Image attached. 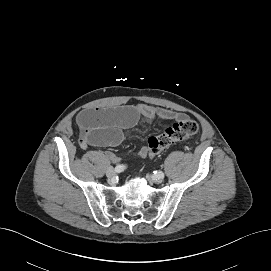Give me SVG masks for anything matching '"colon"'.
<instances>
[{
	"instance_id": "1",
	"label": "colon",
	"mask_w": 271,
	"mask_h": 271,
	"mask_svg": "<svg viewBox=\"0 0 271 271\" xmlns=\"http://www.w3.org/2000/svg\"><path fill=\"white\" fill-rule=\"evenodd\" d=\"M198 131V124L191 118H183L165 129L163 133L148 139V155L154 157L170 145L185 140Z\"/></svg>"
}]
</instances>
